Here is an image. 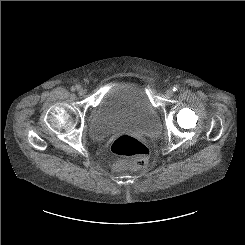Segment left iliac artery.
<instances>
[{
	"mask_svg": "<svg viewBox=\"0 0 245 245\" xmlns=\"http://www.w3.org/2000/svg\"><path fill=\"white\" fill-rule=\"evenodd\" d=\"M174 92L178 91L179 90V86L177 85H174L173 89H172Z\"/></svg>",
	"mask_w": 245,
	"mask_h": 245,
	"instance_id": "1",
	"label": "left iliac artery"
}]
</instances>
